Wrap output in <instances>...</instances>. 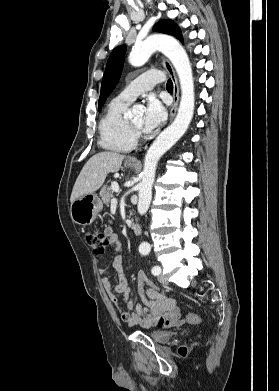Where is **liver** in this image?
Segmentation results:
<instances>
[{"label":"liver","mask_w":279,"mask_h":391,"mask_svg":"<svg viewBox=\"0 0 279 391\" xmlns=\"http://www.w3.org/2000/svg\"><path fill=\"white\" fill-rule=\"evenodd\" d=\"M125 156L115 152H100L92 156L82 168L74 184L70 201L93 194L105 182L109 173L118 172Z\"/></svg>","instance_id":"1"}]
</instances>
